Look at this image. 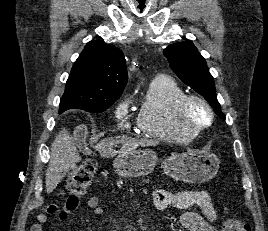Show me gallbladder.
I'll use <instances>...</instances> for the list:
<instances>
[{
	"label": "gallbladder",
	"mask_w": 268,
	"mask_h": 231,
	"mask_svg": "<svg viewBox=\"0 0 268 231\" xmlns=\"http://www.w3.org/2000/svg\"><path fill=\"white\" fill-rule=\"evenodd\" d=\"M78 147H79V149L84 153V154H90L91 153V151L88 149V148H86L85 146H84V144L83 143H78Z\"/></svg>",
	"instance_id": "gallbladder-1"
}]
</instances>
